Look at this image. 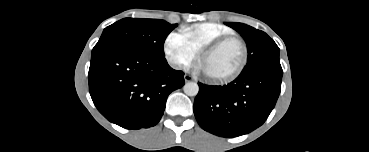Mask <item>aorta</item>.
Listing matches in <instances>:
<instances>
[{
    "mask_svg": "<svg viewBox=\"0 0 369 152\" xmlns=\"http://www.w3.org/2000/svg\"><path fill=\"white\" fill-rule=\"evenodd\" d=\"M183 90L188 96H196L199 92V86L196 82H187L183 86Z\"/></svg>",
    "mask_w": 369,
    "mask_h": 152,
    "instance_id": "obj_1",
    "label": "aorta"
}]
</instances>
